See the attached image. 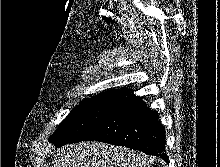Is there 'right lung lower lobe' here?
<instances>
[{"mask_svg": "<svg viewBox=\"0 0 220 167\" xmlns=\"http://www.w3.org/2000/svg\"><path fill=\"white\" fill-rule=\"evenodd\" d=\"M158 114L130 94L114 101L104 119L83 139L125 146L168 162L165 133Z\"/></svg>", "mask_w": 220, "mask_h": 167, "instance_id": "right-lung-lower-lobe-1", "label": "right lung lower lobe"}]
</instances>
